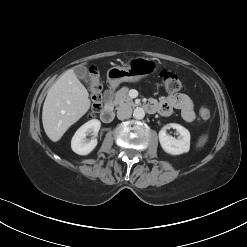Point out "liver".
I'll list each match as a JSON object with an SVG mask.
<instances>
[{
  "instance_id": "liver-1",
  "label": "liver",
  "mask_w": 247,
  "mask_h": 247,
  "mask_svg": "<svg viewBox=\"0 0 247 247\" xmlns=\"http://www.w3.org/2000/svg\"><path fill=\"white\" fill-rule=\"evenodd\" d=\"M89 94L73 69L67 70L49 89L43 104L42 123L53 142L76 123L90 108Z\"/></svg>"
}]
</instances>
